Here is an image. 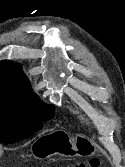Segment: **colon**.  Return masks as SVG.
<instances>
[{
	"mask_svg": "<svg viewBox=\"0 0 125 167\" xmlns=\"http://www.w3.org/2000/svg\"><path fill=\"white\" fill-rule=\"evenodd\" d=\"M99 165H100V160L97 158H94L90 161V167H98ZM67 167H87V165L84 163H76L72 166H67Z\"/></svg>",
	"mask_w": 125,
	"mask_h": 167,
	"instance_id": "5ec220e1",
	"label": "colon"
}]
</instances>
